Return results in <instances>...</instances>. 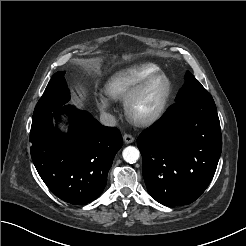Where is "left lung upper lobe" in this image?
Wrapping results in <instances>:
<instances>
[{
  "label": "left lung upper lobe",
  "instance_id": "obj_1",
  "mask_svg": "<svg viewBox=\"0 0 246 246\" xmlns=\"http://www.w3.org/2000/svg\"><path fill=\"white\" fill-rule=\"evenodd\" d=\"M185 80L183 88L180 89L176 97V102L189 96L207 93L201 83L189 71L186 72Z\"/></svg>",
  "mask_w": 246,
  "mask_h": 246
}]
</instances>
